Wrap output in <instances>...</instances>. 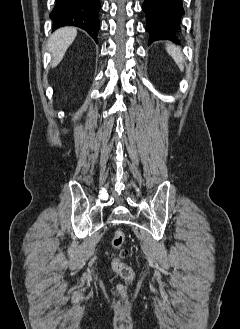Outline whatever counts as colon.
<instances>
[{
  "label": "colon",
  "mask_w": 240,
  "mask_h": 329,
  "mask_svg": "<svg viewBox=\"0 0 240 329\" xmlns=\"http://www.w3.org/2000/svg\"><path fill=\"white\" fill-rule=\"evenodd\" d=\"M125 241V234L121 230H117L112 235L111 244L113 249L116 251L113 255L110 256L111 267L115 270L122 279L128 283L134 277V272L131 266L125 264L121 258L127 255L126 250H122V246ZM118 291L123 292L125 289L124 285L118 286Z\"/></svg>",
  "instance_id": "5ec220e1"
}]
</instances>
